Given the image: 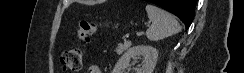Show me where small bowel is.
<instances>
[{"mask_svg":"<svg viewBox=\"0 0 244 73\" xmlns=\"http://www.w3.org/2000/svg\"><path fill=\"white\" fill-rule=\"evenodd\" d=\"M88 73H101L97 65H90L88 68Z\"/></svg>","mask_w":244,"mask_h":73,"instance_id":"obj_1","label":"small bowel"}]
</instances>
